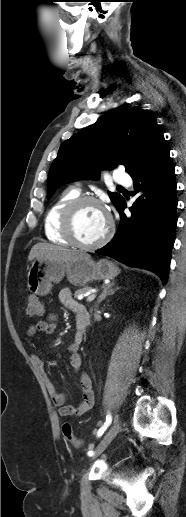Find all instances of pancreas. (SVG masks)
<instances>
[{
	"instance_id": "1",
	"label": "pancreas",
	"mask_w": 186,
	"mask_h": 517,
	"mask_svg": "<svg viewBox=\"0 0 186 517\" xmlns=\"http://www.w3.org/2000/svg\"><path fill=\"white\" fill-rule=\"evenodd\" d=\"M91 289H92V288H91V287H88V286L83 287V288H81V289H78V290H76V291H75V293H74V297H75V298H77V297H79L80 295H82V294H84V293H86V292L90 291Z\"/></svg>"
}]
</instances>
